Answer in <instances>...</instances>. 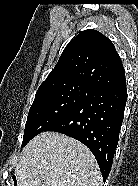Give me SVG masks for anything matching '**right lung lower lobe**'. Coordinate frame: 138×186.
Segmentation results:
<instances>
[{
  "instance_id": "1",
  "label": "right lung lower lobe",
  "mask_w": 138,
  "mask_h": 186,
  "mask_svg": "<svg viewBox=\"0 0 138 186\" xmlns=\"http://www.w3.org/2000/svg\"><path fill=\"white\" fill-rule=\"evenodd\" d=\"M127 101L126 83L91 89L84 102L46 131L70 136L94 154L104 182L113 162Z\"/></svg>"
}]
</instances>
